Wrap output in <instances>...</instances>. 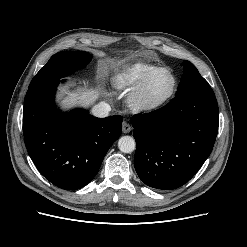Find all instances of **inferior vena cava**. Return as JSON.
<instances>
[{
  "label": "inferior vena cava",
  "mask_w": 247,
  "mask_h": 247,
  "mask_svg": "<svg viewBox=\"0 0 247 247\" xmlns=\"http://www.w3.org/2000/svg\"><path fill=\"white\" fill-rule=\"evenodd\" d=\"M110 110H111L110 105L102 101L92 108V114L96 117L103 118L109 115Z\"/></svg>",
  "instance_id": "602c4592"
}]
</instances>
